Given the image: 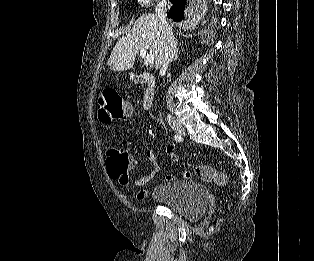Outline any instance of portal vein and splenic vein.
Here are the masks:
<instances>
[{
  "instance_id": "obj_1",
  "label": "portal vein and splenic vein",
  "mask_w": 314,
  "mask_h": 261,
  "mask_svg": "<svg viewBox=\"0 0 314 261\" xmlns=\"http://www.w3.org/2000/svg\"><path fill=\"white\" fill-rule=\"evenodd\" d=\"M140 56L146 63L150 65L154 64V56L151 53H147L145 49L140 50Z\"/></svg>"
}]
</instances>
